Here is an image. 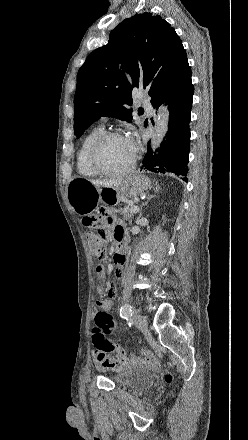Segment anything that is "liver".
<instances>
[{
  "label": "liver",
  "instance_id": "liver-1",
  "mask_svg": "<svg viewBox=\"0 0 248 440\" xmlns=\"http://www.w3.org/2000/svg\"><path fill=\"white\" fill-rule=\"evenodd\" d=\"M121 182H122L121 180L91 181V183L97 187H112L119 185Z\"/></svg>",
  "mask_w": 248,
  "mask_h": 440
}]
</instances>
